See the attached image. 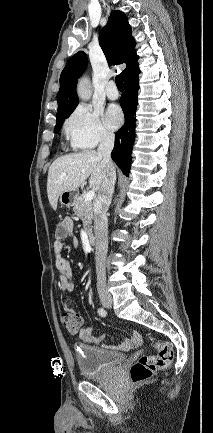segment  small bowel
<instances>
[{
  "label": "small bowel",
  "instance_id": "1",
  "mask_svg": "<svg viewBox=\"0 0 213 433\" xmlns=\"http://www.w3.org/2000/svg\"><path fill=\"white\" fill-rule=\"evenodd\" d=\"M73 221L70 218L62 219L55 230V238L53 242V250L55 253V265L59 272V284L63 292L64 307L66 310H72L68 293L74 288L73 283V272L70 261L62 255L64 248V240L70 238L74 246L78 245V241L74 238L73 234ZM78 337L81 341L88 344H101L105 338L104 335L94 336L93 328L90 326L83 327L78 331ZM141 335L134 331L131 336L124 340L116 348L120 350H130L133 347H137L141 344Z\"/></svg>",
  "mask_w": 213,
  "mask_h": 433
}]
</instances>
